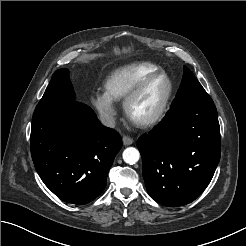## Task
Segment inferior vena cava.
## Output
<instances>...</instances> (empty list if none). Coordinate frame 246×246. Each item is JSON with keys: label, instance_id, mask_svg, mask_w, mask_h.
<instances>
[{"label": "inferior vena cava", "instance_id": "inferior-vena-cava-1", "mask_svg": "<svg viewBox=\"0 0 246 246\" xmlns=\"http://www.w3.org/2000/svg\"><path fill=\"white\" fill-rule=\"evenodd\" d=\"M100 121L104 126L115 127V118L109 114H101Z\"/></svg>", "mask_w": 246, "mask_h": 246}]
</instances>
